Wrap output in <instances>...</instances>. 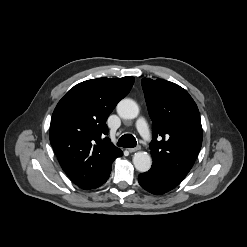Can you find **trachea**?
<instances>
[{"instance_id":"trachea-1","label":"trachea","mask_w":247,"mask_h":247,"mask_svg":"<svg viewBox=\"0 0 247 247\" xmlns=\"http://www.w3.org/2000/svg\"><path fill=\"white\" fill-rule=\"evenodd\" d=\"M117 145L124 148H133L137 145V142L133 135L125 134L118 140Z\"/></svg>"}]
</instances>
